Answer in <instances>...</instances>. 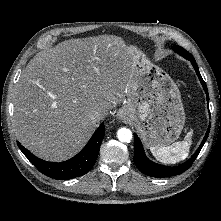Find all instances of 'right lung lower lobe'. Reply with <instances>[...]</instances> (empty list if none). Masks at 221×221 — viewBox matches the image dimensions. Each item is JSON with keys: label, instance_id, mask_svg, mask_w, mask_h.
Instances as JSON below:
<instances>
[{"label": "right lung lower lobe", "instance_id": "1", "mask_svg": "<svg viewBox=\"0 0 221 221\" xmlns=\"http://www.w3.org/2000/svg\"><path fill=\"white\" fill-rule=\"evenodd\" d=\"M104 135V123H102L86 146L76 156L59 163L47 162L39 159L19 142H17V144L28 160L44 175L58 180H65L82 176L92 168L99 154Z\"/></svg>", "mask_w": 221, "mask_h": 221}]
</instances>
